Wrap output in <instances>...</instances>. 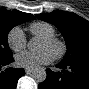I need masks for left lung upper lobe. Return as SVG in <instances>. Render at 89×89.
Instances as JSON below:
<instances>
[{"instance_id":"left-lung-upper-lobe-1","label":"left lung upper lobe","mask_w":89,"mask_h":89,"mask_svg":"<svg viewBox=\"0 0 89 89\" xmlns=\"http://www.w3.org/2000/svg\"><path fill=\"white\" fill-rule=\"evenodd\" d=\"M36 17L55 25L63 35L67 51L62 63L89 58V22L87 20L66 11L36 14Z\"/></svg>"}]
</instances>
